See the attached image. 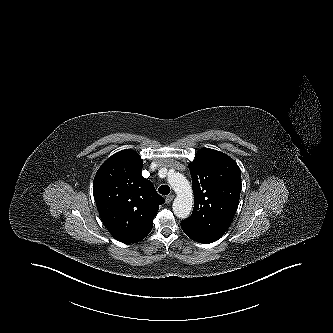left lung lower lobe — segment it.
<instances>
[{
	"label": "left lung lower lobe",
	"mask_w": 333,
	"mask_h": 333,
	"mask_svg": "<svg viewBox=\"0 0 333 333\" xmlns=\"http://www.w3.org/2000/svg\"><path fill=\"white\" fill-rule=\"evenodd\" d=\"M181 228L185 232L186 235H188L192 240L199 242V243H211L217 240V238H214L210 235L204 234L198 230H195L187 225H184L181 223Z\"/></svg>",
	"instance_id": "0a47b994"
}]
</instances>
